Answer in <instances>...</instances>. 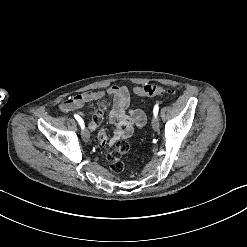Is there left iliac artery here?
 Segmentation results:
<instances>
[{
    "label": "left iliac artery",
    "mask_w": 247,
    "mask_h": 247,
    "mask_svg": "<svg viewBox=\"0 0 247 247\" xmlns=\"http://www.w3.org/2000/svg\"><path fill=\"white\" fill-rule=\"evenodd\" d=\"M158 110H159V107H158V104H156L155 107H154V109H153V113H154V116L155 117H157Z\"/></svg>",
    "instance_id": "left-iliac-artery-1"
}]
</instances>
